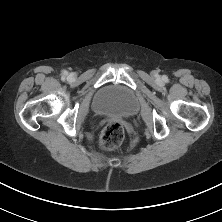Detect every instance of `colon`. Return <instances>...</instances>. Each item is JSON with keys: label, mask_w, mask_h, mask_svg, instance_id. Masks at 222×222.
<instances>
[{"label": "colon", "mask_w": 222, "mask_h": 222, "mask_svg": "<svg viewBox=\"0 0 222 222\" xmlns=\"http://www.w3.org/2000/svg\"><path fill=\"white\" fill-rule=\"evenodd\" d=\"M124 138L123 125L118 121H112L105 125L100 137V145L104 149H114L123 142Z\"/></svg>", "instance_id": "obj_1"}]
</instances>
